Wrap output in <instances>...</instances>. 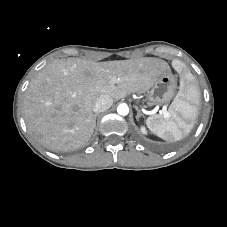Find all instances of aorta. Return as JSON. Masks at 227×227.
Segmentation results:
<instances>
[{
    "instance_id": "aorta-1",
    "label": "aorta",
    "mask_w": 227,
    "mask_h": 227,
    "mask_svg": "<svg viewBox=\"0 0 227 227\" xmlns=\"http://www.w3.org/2000/svg\"><path fill=\"white\" fill-rule=\"evenodd\" d=\"M117 113L119 115L126 116L129 113V107L124 103L119 104L117 107Z\"/></svg>"
}]
</instances>
